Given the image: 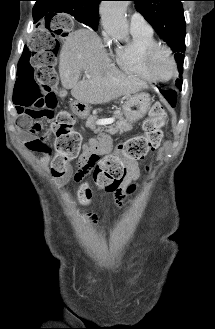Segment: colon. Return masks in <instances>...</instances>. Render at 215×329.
<instances>
[{"instance_id":"5ec220e1","label":"colon","mask_w":215,"mask_h":329,"mask_svg":"<svg viewBox=\"0 0 215 329\" xmlns=\"http://www.w3.org/2000/svg\"><path fill=\"white\" fill-rule=\"evenodd\" d=\"M70 14H43L39 25H33L29 32L31 38L23 55H15V62H22L16 66L18 80L12 86L13 102L17 104L19 115L27 122L21 126L25 132L38 135L40 124L34 120L48 118L53 120L52 131L56 136L55 155L51 161V171L55 177H63L68 170L69 163L80 151L81 135L72 129L73 116L69 111H57V100L54 88L59 81V74L55 73L58 50L62 48L60 40L69 38V32H78V25H73ZM167 113L161 103H155L149 112V117L143 123L144 133L133 137L117 147L115 153L105 157L91 154L81 159L74 179L81 180L91 175L94 183L107 191H117L122 187L126 177L123 166L124 160L143 159L151 150L159 147L166 125ZM32 147L38 150H50V145L40 137L32 141ZM91 198L88 184H82L79 199L87 204Z\"/></svg>"}]
</instances>
